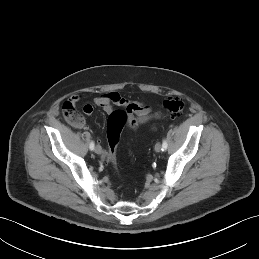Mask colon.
Segmentation results:
<instances>
[{"label": "colon", "instance_id": "obj_1", "mask_svg": "<svg viewBox=\"0 0 259 259\" xmlns=\"http://www.w3.org/2000/svg\"><path fill=\"white\" fill-rule=\"evenodd\" d=\"M163 107L172 117H178L184 110V102L180 98L171 97L164 101ZM62 114L64 119L73 126H77L83 121V116L76 108L73 99L64 101ZM128 122L129 116L125 110H114L108 117L106 132L109 148L105 154V159L112 167L116 166V147L122 130Z\"/></svg>", "mask_w": 259, "mask_h": 259}]
</instances>
